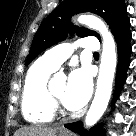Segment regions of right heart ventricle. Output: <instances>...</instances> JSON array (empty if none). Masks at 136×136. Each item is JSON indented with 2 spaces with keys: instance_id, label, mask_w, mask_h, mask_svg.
<instances>
[{
  "instance_id": "right-heart-ventricle-1",
  "label": "right heart ventricle",
  "mask_w": 136,
  "mask_h": 136,
  "mask_svg": "<svg viewBox=\"0 0 136 136\" xmlns=\"http://www.w3.org/2000/svg\"><path fill=\"white\" fill-rule=\"evenodd\" d=\"M54 70L41 60L28 70L22 88L21 110L26 121L33 124L49 123L55 110L48 93V79Z\"/></svg>"
}]
</instances>
